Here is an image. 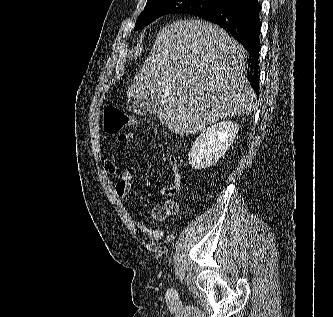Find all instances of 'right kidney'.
Instances as JSON below:
<instances>
[{"mask_svg":"<svg viewBox=\"0 0 333 317\" xmlns=\"http://www.w3.org/2000/svg\"><path fill=\"white\" fill-rule=\"evenodd\" d=\"M238 130V125L232 121H222L203 130L188 153L189 164L201 170L217 163L233 143Z\"/></svg>","mask_w":333,"mask_h":317,"instance_id":"ca27d5eb","label":"right kidney"}]
</instances>
